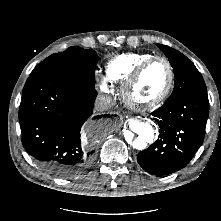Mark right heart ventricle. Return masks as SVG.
Here are the masks:
<instances>
[{
  "label": "right heart ventricle",
  "instance_id": "e07e8e85",
  "mask_svg": "<svg viewBox=\"0 0 221 221\" xmlns=\"http://www.w3.org/2000/svg\"><path fill=\"white\" fill-rule=\"evenodd\" d=\"M154 56L151 53H127L118 55L106 64V79L111 83L123 84L137 67Z\"/></svg>",
  "mask_w": 221,
  "mask_h": 221
}]
</instances>
